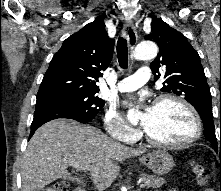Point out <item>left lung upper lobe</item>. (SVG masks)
I'll return each mask as SVG.
<instances>
[{
  "instance_id": "obj_1",
  "label": "left lung upper lobe",
  "mask_w": 221,
  "mask_h": 191,
  "mask_svg": "<svg viewBox=\"0 0 221 191\" xmlns=\"http://www.w3.org/2000/svg\"><path fill=\"white\" fill-rule=\"evenodd\" d=\"M145 39L159 46V54L150 68L156 80L161 76L159 68L165 70L161 91L182 96L195 107L203 120L204 135L217 151L211 93L199 54L183 34L155 16H152L151 33Z\"/></svg>"
}]
</instances>
